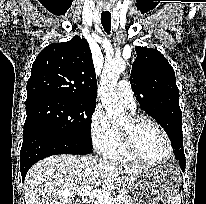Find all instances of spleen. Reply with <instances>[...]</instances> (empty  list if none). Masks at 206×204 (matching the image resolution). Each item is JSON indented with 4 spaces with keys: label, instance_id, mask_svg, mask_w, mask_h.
Here are the masks:
<instances>
[{
    "label": "spleen",
    "instance_id": "3e777b00",
    "mask_svg": "<svg viewBox=\"0 0 206 204\" xmlns=\"http://www.w3.org/2000/svg\"><path fill=\"white\" fill-rule=\"evenodd\" d=\"M180 203H181V200L178 195L174 196L171 200V204H180Z\"/></svg>",
    "mask_w": 206,
    "mask_h": 204
}]
</instances>
